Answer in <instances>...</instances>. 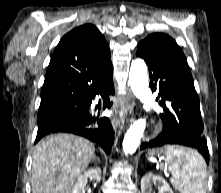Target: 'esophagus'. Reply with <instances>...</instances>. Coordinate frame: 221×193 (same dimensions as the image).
Wrapping results in <instances>:
<instances>
[{
  "instance_id": "1",
  "label": "esophagus",
  "mask_w": 221,
  "mask_h": 193,
  "mask_svg": "<svg viewBox=\"0 0 221 193\" xmlns=\"http://www.w3.org/2000/svg\"><path fill=\"white\" fill-rule=\"evenodd\" d=\"M134 99V96L133 95H128V97H123V100L121 101H119L118 100V102L115 104V106H116V112H115V114L113 115V117H112V123H113V126L114 127H117V126H130L131 124L130 123H120V120H119V118H118V113H119V115L120 116H122L123 115V110L121 109L122 107H124L125 109H127V108H131L132 106L130 105V104H133V101H128V100H133ZM120 104V105H119ZM124 105V106H122V105ZM129 104V105H128ZM119 108L121 109V110H119ZM129 121L130 122H132V121H134V117L133 116H131L130 118H129ZM116 130V129H115ZM120 130H124V129H120Z\"/></svg>"
}]
</instances>
